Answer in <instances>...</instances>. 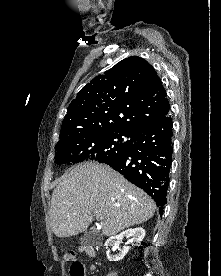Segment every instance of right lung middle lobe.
Masks as SVG:
<instances>
[{
    "label": "right lung middle lobe",
    "instance_id": "right-lung-middle-lobe-1",
    "mask_svg": "<svg viewBox=\"0 0 221 276\" xmlns=\"http://www.w3.org/2000/svg\"><path fill=\"white\" fill-rule=\"evenodd\" d=\"M122 136L130 137L123 132L111 131L59 142L55 146V161L57 164H74L87 160L104 163L129 148L131 140L122 142Z\"/></svg>",
    "mask_w": 221,
    "mask_h": 276
}]
</instances>
